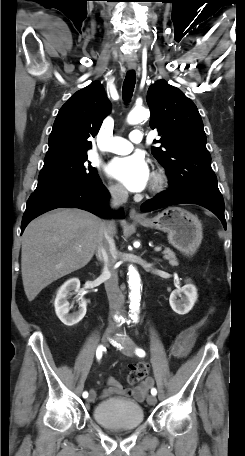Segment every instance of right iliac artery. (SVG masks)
Segmentation results:
<instances>
[{
	"instance_id": "1",
	"label": "right iliac artery",
	"mask_w": 245,
	"mask_h": 456,
	"mask_svg": "<svg viewBox=\"0 0 245 456\" xmlns=\"http://www.w3.org/2000/svg\"><path fill=\"white\" fill-rule=\"evenodd\" d=\"M104 347L102 345H100L98 348H97V351H96V357L98 360H100L102 358V354H103V351H104ZM82 396L84 398H87L88 397V392H83Z\"/></svg>"
}]
</instances>
